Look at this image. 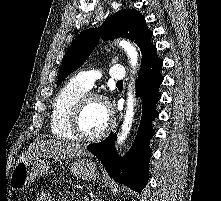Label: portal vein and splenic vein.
<instances>
[{
    "mask_svg": "<svg viewBox=\"0 0 221 201\" xmlns=\"http://www.w3.org/2000/svg\"><path fill=\"white\" fill-rule=\"evenodd\" d=\"M82 199H83L84 201H89V198H88L87 196L82 197Z\"/></svg>",
    "mask_w": 221,
    "mask_h": 201,
    "instance_id": "portal-vein-and-splenic-vein-1",
    "label": "portal vein and splenic vein"
}]
</instances>
